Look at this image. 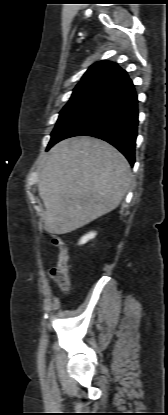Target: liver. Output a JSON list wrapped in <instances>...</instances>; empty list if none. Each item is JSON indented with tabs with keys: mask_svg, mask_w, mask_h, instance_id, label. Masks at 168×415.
I'll return each mask as SVG.
<instances>
[{
	"mask_svg": "<svg viewBox=\"0 0 168 415\" xmlns=\"http://www.w3.org/2000/svg\"><path fill=\"white\" fill-rule=\"evenodd\" d=\"M131 181L127 159L93 137H74L51 148L38 183L45 230L66 234L111 212Z\"/></svg>",
	"mask_w": 168,
	"mask_h": 415,
	"instance_id": "liver-1",
	"label": "liver"
}]
</instances>
